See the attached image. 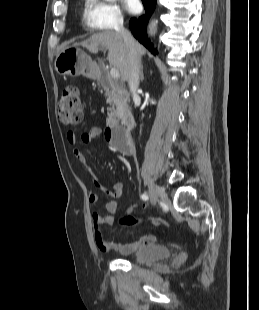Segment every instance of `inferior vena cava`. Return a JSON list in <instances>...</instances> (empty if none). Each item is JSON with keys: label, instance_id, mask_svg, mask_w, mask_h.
<instances>
[{"label": "inferior vena cava", "instance_id": "inferior-vena-cava-1", "mask_svg": "<svg viewBox=\"0 0 259 310\" xmlns=\"http://www.w3.org/2000/svg\"><path fill=\"white\" fill-rule=\"evenodd\" d=\"M116 32H118L124 40V43L128 49L129 53V78L128 84L130 91L133 95H136L137 89L139 87L140 70H141V57L137 52L136 43L129 31H127L123 26V20H119L116 27Z\"/></svg>", "mask_w": 259, "mask_h": 310}]
</instances>
